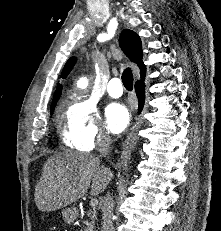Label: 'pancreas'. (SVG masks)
Listing matches in <instances>:
<instances>
[{
    "label": "pancreas",
    "instance_id": "obj_1",
    "mask_svg": "<svg viewBox=\"0 0 221 231\" xmlns=\"http://www.w3.org/2000/svg\"><path fill=\"white\" fill-rule=\"evenodd\" d=\"M87 216L89 217V220L84 221V224L86 225L84 231H94L95 228L94 215H92L91 212H87Z\"/></svg>",
    "mask_w": 221,
    "mask_h": 231
}]
</instances>
